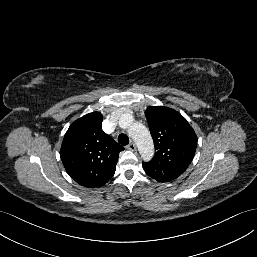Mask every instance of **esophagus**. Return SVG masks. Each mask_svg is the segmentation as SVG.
I'll return each mask as SVG.
<instances>
[{"label": "esophagus", "instance_id": "obj_1", "mask_svg": "<svg viewBox=\"0 0 257 257\" xmlns=\"http://www.w3.org/2000/svg\"><path fill=\"white\" fill-rule=\"evenodd\" d=\"M127 149L130 151H135L136 145L133 142H131L129 145H127Z\"/></svg>", "mask_w": 257, "mask_h": 257}]
</instances>
